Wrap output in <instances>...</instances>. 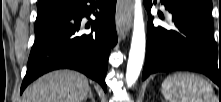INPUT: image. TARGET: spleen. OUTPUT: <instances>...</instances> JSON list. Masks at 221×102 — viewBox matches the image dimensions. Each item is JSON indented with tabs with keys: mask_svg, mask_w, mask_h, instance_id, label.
<instances>
[{
	"mask_svg": "<svg viewBox=\"0 0 221 102\" xmlns=\"http://www.w3.org/2000/svg\"><path fill=\"white\" fill-rule=\"evenodd\" d=\"M162 93L168 102H217L206 80L186 72L169 75L162 83Z\"/></svg>",
	"mask_w": 221,
	"mask_h": 102,
	"instance_id": "3e777b00",
	"label": "spleen"
}]
</instances>
